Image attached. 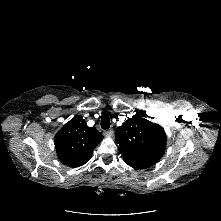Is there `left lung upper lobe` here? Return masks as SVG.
Masks as SVG:
<instances>
[{"mask_svg": "<svg viewBox=\"0 0 221 221\" xmlns=\"http://www.w3.org/2000/svg\"><path fill=\"white\" fill-rule=\"evenodd\" d=\"M115 140L120 145L124 161L136 169L156 164L166 148V133L155 123L138 114L116 129Z\"/></svg>", "mask_w": 221, "mask_h": 221, "instance_id": "1", "label": "left lung upper lobe"}]
</instances>
